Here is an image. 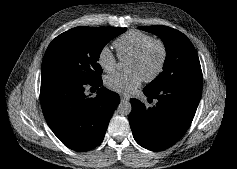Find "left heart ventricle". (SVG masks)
Returning a JSON list of instances; mask_svg holds the SVG:
<instances>
[{
	"label": "left heart ventricle",
	"mask_w": 237,
	"mask_h": 169,
	"mask_svg": "<svg viewBox=\"0 0 237 169\" xmlns=\"http://www.w3.org/2000/svg\"><path fill=\"white\" fill-rule=\"evenodd\" d=\"M161 52L159 47L153 46L146 53L143 59L133 60L128 62L127 70L136 71L142 78H145L153 73L159 64Z\"/></svg>",
	"instance_id": "1"
}]
</instances>
